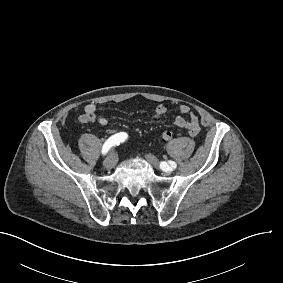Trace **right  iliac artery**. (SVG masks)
Listing matches in <instances>:
<instances>
[{"mask_svg":"<svg viewBox=\"0 0 283 283\" xmlns=\"http://www.w3.org/2000/svg\"><path fill=\"white\" fill-rule=\"evenodd\" d=\"M128 135L125 132L117 133L111 136L103 145L102 154H106L112 147L118 146L127 139Z\"/></svg>","mask_w":283,"mask_h":283,"instance_id":"82829eb1","label":"right iliac artery"}]
</instances>
